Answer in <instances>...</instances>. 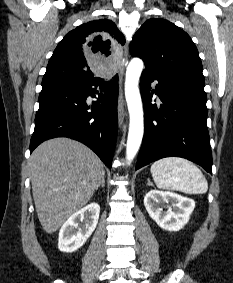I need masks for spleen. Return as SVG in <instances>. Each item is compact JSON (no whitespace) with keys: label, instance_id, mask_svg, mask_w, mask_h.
<instances>
[{"label":"spleen","instance_id":"1","mask_svg":"<svg viewBox=\"0 0 233 283\" xmlns=\"http://www.w3.org/2000/svg\"><path fill=\"white\" fill-rule=\"evenodd\" d=\"M151 174L160 189L176 190L186 194H204L208 183L192 162L177 157H167L154 162Z\"/></svg>","mask_w":233,"mask_h":283}]
</instances>
